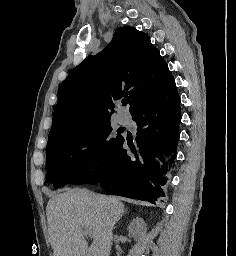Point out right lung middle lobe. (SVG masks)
I'll return each instance as SVG.
<instances>
[{
	"instance_id": "1",
	"label": "right lung middle lobe",
	"mask_w": 236,
	"mask_h": 256,
	"mask_svg": "<svg viewBox=\"0 0 236 256\" xmlns=\"http://www.w3.org/2000/svg\"><path fill=\"white\" fill-rule=\"evenodd\" d=\"M111 133L110 120H103L78 126L48 139L47 181L53 183L55 188L64 186L105 161L123 138L122 135L112 138Z\"/></svg>"
}]
</instances>
